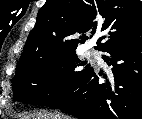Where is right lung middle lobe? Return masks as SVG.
<instances>
[{
    "label": "right lung middle lobe",
    "mask_w": 142,
    "mask_h": 119,
    "mask_svg": "<svg viewBox=\"0 0 142 119\" xmlns=\"http://www.w3.org/2000/svg\"><path fill=\"white\" fill-rule=\"evenodd\" d=\"M78 59L75 50L45 56L16 71L12 79L16 101L48 106L62 100L77 89L87 74L93 70Z\"/></svg>",
    "instance_id": "obj_1"
}]
</instances>
